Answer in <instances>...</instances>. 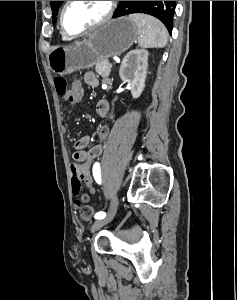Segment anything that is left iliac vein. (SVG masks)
Listing matches in <instances>:
<instances>
[{
    "label": "left iliac vein",
    "instance_id": "1",
    "mask_svg": "<svg viewBox=\"0 0 237 300\" xmlns=\"http://www.w3.org/2000/svg\"><path fill=\"white\" fill-rule=\"evenodd\" d=\"M117 207H118V199L115 196L114 199L111 202V205H110L109 209H108L107 216L105 218L101 219V220L95 221L92 224L91 231L94 232V231L98 230L100 227L107 224L109 221H111L115 216Z\"/></svg>",
    "mask_w": 237,
    "mask_h": 300
}]
</instances>
